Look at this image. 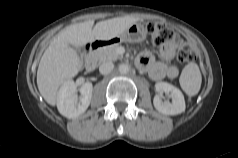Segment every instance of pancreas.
Returning <instances> with one entry per match:
<instances>
[{
    "mask_svg": "<svg viewBox=\"0 0 238 158\" xmlns=\"http://www.w3.org/2000/svg\"><path fill=\"white\" fill-rule=\"evenodd\" d=\"M118 44H113L110 46L103 47L98 49L95 53V57L99 62H106V61H115L121 56L116 52Z\"/></svg>",
    "mask_w": 238,
    "mask_h": 158,
    "instance_id": "1",
    "label": "pancreas"
}]
</instances>
